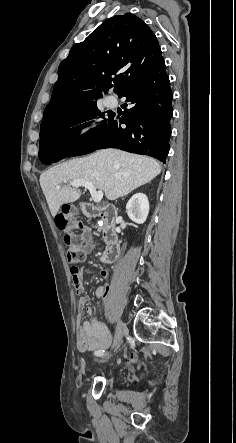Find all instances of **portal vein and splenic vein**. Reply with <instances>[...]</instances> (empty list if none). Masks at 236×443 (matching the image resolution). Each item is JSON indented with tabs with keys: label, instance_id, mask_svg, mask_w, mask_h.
<instances>
[{
	"label": "portal vein and splenic vein",
	"instance_id": "obj_1",
	"mask_svg": "<svg viewBox=\"0 0 236 443\" xmlns=\"http://www.w3.org/2000/svg\"><path fill=\"white\" fill-rule=\"evenodd\" d=\"M70 185L75 188L82 186V187L88 189L90 191L91 197L95 203L100 202L103 198V191H97L95 186L86 180H74V181L70 182ZM57 188L59 189L60 186H58Z\"/></svg>",
	"mask_w": 236,
	"mask_h": 443
}]
</instances>
